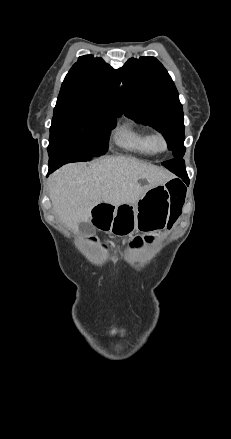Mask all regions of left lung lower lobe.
Wrapping results in <instances>:
<instances>
[{
	"label": "left lung lower lobe",
	"mask_w": 231,
	"mask_h": 439,
	"mask_svg": "<svg viewBox=\"0 0 231 439\" xmlns=\"http://www.w3.org/2000/svg\"><path fill=\"white\" fill-rule=\"evenodd\" d=\"M163 165L176 175L180 176L184 181H188L183 159H172Z\"/></svg>",
	"instance_id": "0a47b994"
}]
</instances>
